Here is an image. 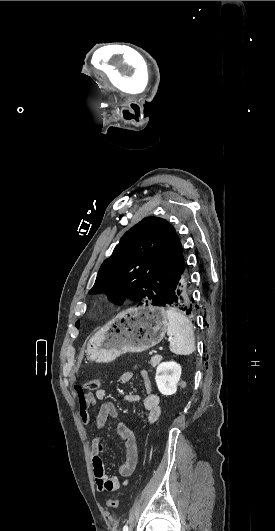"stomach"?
I'll list each match as a JSON object with an SVG mask.
<instances>
[{
	"label": "stomach",
	"mask_w": 275,
	"mask_h": 531,
	"mask_svg": "<svg viewBox=\"0 0 275 531\" xmlns=\"http://www.w3.org/2000/svg\"><path fill=\"white\" fill-rule=\"evenodd\" d=\"M167 327L163 307L126 309L91 337L87 357L94 363H111L123 353L148 351L164 339Z\"/></svg>",
	"instance_id": "0dacf381"
}]
</instances>
